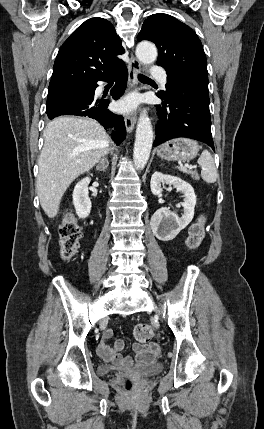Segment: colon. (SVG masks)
<instances>
[{"mask_svg": "<svg viewBox=\"0 0 264 429\" xmlns=\"http://www.w3.org/2000/svg\"><path fill=\"white\" fill-rule=\"evenodd\" d=\"M60 254L64 260H70L75 256L79 249V242L82 237V230L73 215H67L58 229ZM205 235L204 222L200 219L194 223L190 229L187 238V246L190 249H196L201 244ZM134 339L138 344H147L153 337L152 329L146 324H139L133 330ZM125 389L133 390L134 383L127 379Z\"/></svg>", "mask_w": 264, "mask_h": 429, "instance_id": "1", "label": "colon"}]
</instances>
